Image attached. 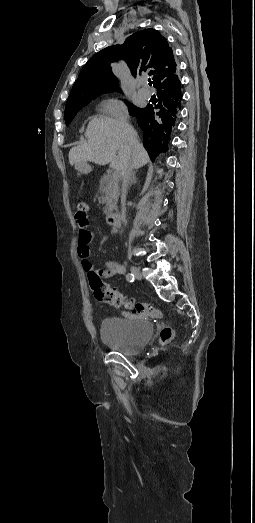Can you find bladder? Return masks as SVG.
Here are the masks:
<instances>
[{
    "mask_svg": "<svg viewBox=\"0 0 255 523\" xmlns=\"http://www.w3.org/2000/svg\"><path fill=\"white\" fill-rule=\"evenodd\" d=\"M152 332V323L137 317L129 320L103 318L100 326L102 340L124 354L139 353L148 344Z\"/></svg>",
    "mask_w": 255,
    "mask_h": 523,
    "instance_id": "bladder-1",
    "label": "bladder"
}]
</instances>
